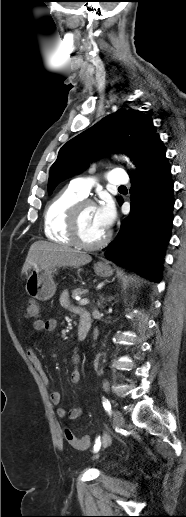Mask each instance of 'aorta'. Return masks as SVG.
Here are the masks:
<instances>
[{
    "instance_id": "aorta-1",
    "label": "aorta",
    "mask_w": 186,
    "mask_h": 517,
    "mask_svg": "<svg viewBox=\"0 0 186 517\" xmlns=\"http://www.w3.org/2000/svg\"><path fill=\"white\" fill-rule=\"evenodd\" d=\"M124 160H125V161H127V162H129L128 158H126V157H124Z\"/></svg>"
}]
</instances>
